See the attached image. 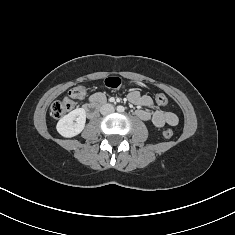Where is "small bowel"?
<instances>
[{"instance_id": "1", "label": "small bowel", "mask_w": 235, "mask_h": 235, "mask_svg": "<svg viewBox=\"0 0 235 235\" xmlns=\"http://www.w3.org/2000/svg\"><path fill=\"white\" fill-rule=\"evenodd\" d=\"M129 100L140 107L136 111V115L142 120H151L154 126L162 128L165 125L175 126L178 124V117L170 111L157 110L150 112L149 107L152 106V99L148 95H142L138 91H132L128 95ZM106 96L103 93H94L89 97L90 103L104 102Z\"/></svg>"}]
</instances>
